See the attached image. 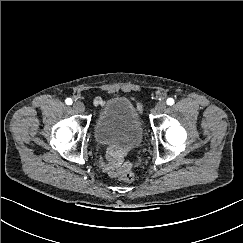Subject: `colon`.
<instances>
[{
    "label": "colon",
    "mask_w": 243,
    "mask_h": 243,
    "mask_svg": "<svg viewBox=\"0 0 243 243\" xmlns=\"http://www.w3.org/2000/svg\"><path fill=\"white\" fill-rule=\"evenodd\" d=\"M119 178L122 182L130 183L134 180L135 176L130 169H127L124 172H122Z\"/></svg>",
    "instance_id": "1"
}]
</instances>
